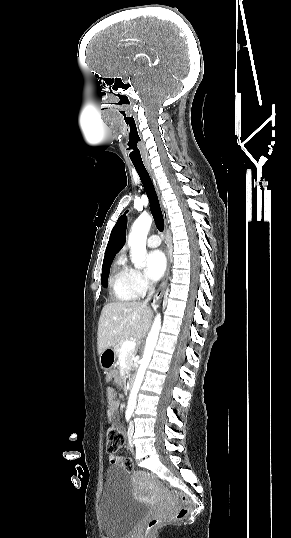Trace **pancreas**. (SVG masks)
Here are the masks:
<instances>
[{
	"label": "pancreas",
	"mask_w": 291,
	"mask_h": 538,
	"mask_svg": "<svg viewBox=\"0 0 291 538\" xmlns=\"http://www.w3.org/2000/svg\"><path fill=\"white\" fill-rule=\"evenodd\" d=\"M127 341V340H122L120 342H118L115 346H114V350H115V353L117 355V357H119L122 353V350H121V347H122V344ZM134 356V352H131V351H126V363L127 365L130 367L132 365V357Z\"/></svg>",
	"instance_id": "1"
}]
</instances>
